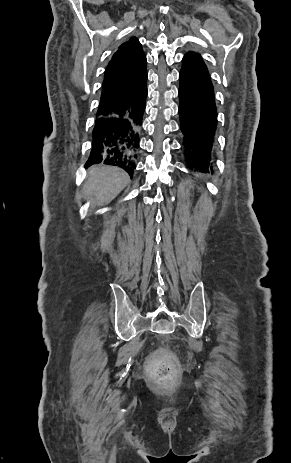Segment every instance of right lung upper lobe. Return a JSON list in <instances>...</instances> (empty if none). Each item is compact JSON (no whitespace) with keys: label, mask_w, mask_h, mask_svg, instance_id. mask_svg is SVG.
Wrapping results in <instances>:
<instances>
[{"label":"right lung upper lobe","mask_w":291,"mask_h":463,"mask_svg":"<svg viewBox=\"0 0 291 463\" xmlns=\"http://www.w3.org/2000/svg\"><path fill=\"white\" fill-rule=\"evenodd\" d=\"M146 62L142 46L135 37L118 48L105 70L97 117L106 115L140 86L147 73Z\"/></svg>","instance_id":"cb5924a9"}]
</instances>
